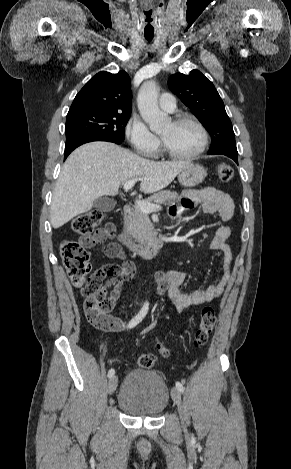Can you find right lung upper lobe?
<instances>
[{
	"label": "right lung upper lobe",
	"mask_w": 291,
	"mask_h": 469,
	"mask_svg": "<svg viewBox=\"0 0 291 469\" xmlns=\"http://www.w3.org/2000/svg\"><path fill=\"white\" fill-rule=\"evenodd\" d=\"M131 100L130 78L125 71L117 74L101 71L76 95L68 113L86 110L130 113Z\"/></svg>",
	"instance_id": "1"
}]
</instances>
